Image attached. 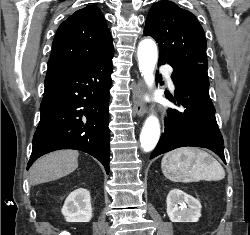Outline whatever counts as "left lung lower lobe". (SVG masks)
I'll return each instance as SVG.
<instances>
[{"label": "left lung lower lobe", "instance_id": "1", "mask_svg": "<svg viewBox=\"0 0 250 235\" xmlns=\"http://www.w3.org/2000/svg\"><path fill=\"white\" fill-rule=\"evenodd\" d=\"M164 63L159 61V65ZM173 69L175 99H169L181 109H169L165 131L150 158L175 148L194 146L212 150L225 162L224 142L209 96L207 68L197 64Z\"/></svg>", "mask_w": 250, "mask_h": 235}]
</instances>
